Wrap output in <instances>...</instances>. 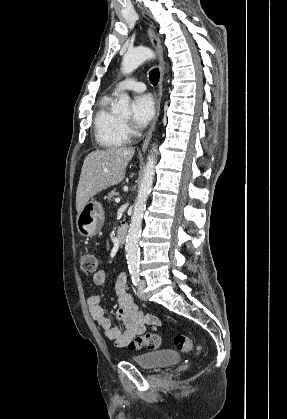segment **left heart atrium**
I'll return each instance as SVG.
<instances>
[{
    "instance_id": "39dd6f15",
    "label": "left heart atrium",
    "mask_w": 287,
    "mask_h": 419,
    "mask_svg": "<svg viewBox=\"0 0 287 419\" xmlns=\"http://www.w3.org/2000/svg\"><path fill=\"white\" fill-rule=\"evenodd\" d=\"M155 112L153 97L150 94L137 95L132 102V122L142 128L148 124Z\"/></svg>"
}]
</instances>
